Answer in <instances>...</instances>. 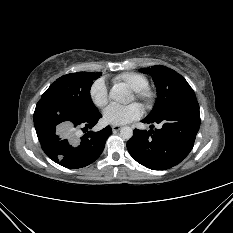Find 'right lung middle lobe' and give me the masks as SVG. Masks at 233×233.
Wrapping results in <instances>:
<instances>
[{
	"label": "right lung middle lobe",
	"mask_w": 233,
	"mask_h": 233,
	"mask_svg": "<svg viewBox=\"0 0 233 233\" xmlns=\"http://www.w3.org/2000/svg\"><path fill=\"white\" fill-rule=\"evenodd\" d=\"M99 73L77 72L64 75L53 82L41 99H51L77 115H88L98 110L90 97L93 81Z\"/></svg>",
	"instance_id": "obj_1"
}]
</instances>
